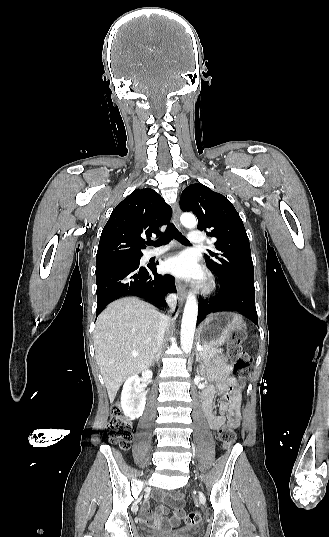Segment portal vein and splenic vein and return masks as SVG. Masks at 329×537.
Here are the masks:
<instances>
[{"label":"portal vein and splenic vein","instance_id":"obj_1","mask_svg":"<svg viewBox=\"0 0 329 537\" xmlns=\"http://www.w3.org/2000/svg\"><path fill=\"white\" fill-rule=\"evenodd\" d=\"M202 349H203V348H202L201 346H197V350H198V351H201ZM132 355H133V356H137V353L134 352V353H132Z\"/></svg>","mask_w":329,"mask_h":537}]
</instances>
